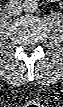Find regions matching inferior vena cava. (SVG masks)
<instances>
[{
	"instance_id": "obj_1",
	"label": "inferior vena cava",
	"mask_w": 63,
	"mask_h": 107,
	"mask_svg": "<svg viewBox=\"0 0 63 107\" xmlns=\"http://www.w3.org/2000/svg\"><path fill=\"white\" fill-rule=\"evenodd\" d=\"M6 11L11 16L20 15L22 12V4L18 0H11L6 4Z\"/></svg>"
}]
</instances>
